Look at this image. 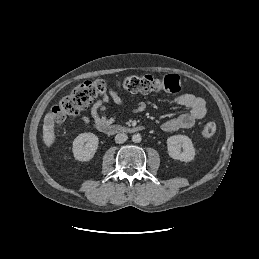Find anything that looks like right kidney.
Instances as JSON below:
<instances>
[{
  "mask_svg": "<svg viewBox=\"0 0 259 259\" xmlns=\"http://www.w3.org/2000/svg\"><path fill=\"white\" fill-rule=\"evenodd\" d=\"M99 139L90 132L79 134L73 141L72 152L76 160L81 162L90 161L97 149Z\"/></svg>",
  "mask_w": 259,
  "mask_h": 259,
  "instance_id": "right-kidney-1",
  "label": "right kidney"
}]
</instances>
